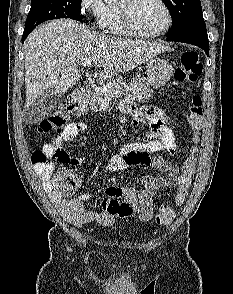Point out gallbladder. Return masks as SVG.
<instances>
[{
	"mask_svg": "<svg viewBox=\"0 0 233 294\" xmlns=\"http://www.w3.org/2000/svg\"><path fill=\"white\" fill-rule=\"evenodd\" d=\"M60 99L61 95L54 90H45L35 101L31 109L32 118H28V120L39 122L45 119L53 112Z\"/></svg>",
	"mask_w": 233,
	"mask_h": 294,
	"instance_id": "gallbladder-1",
	"label": "gallbladder"
}]
</instances>
